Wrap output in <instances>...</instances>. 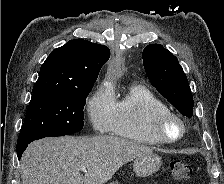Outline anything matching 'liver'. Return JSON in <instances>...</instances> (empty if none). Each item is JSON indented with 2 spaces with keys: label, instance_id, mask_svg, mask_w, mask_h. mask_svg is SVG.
<instances>
[{
  "label": "liver",
  "instance_id": "liver-1",
  "mask_svg": "<svg viewBox=\"0 0 224 184\" xmlns=\"http://www.w3.org/2000/svg\"><path fill=\"white\" fill-rule=\"evenodd\" d=\"M149 147L114 136L44 138L29 144L20 161L22 184H104ZM85 167V175L80 168Z\"/></svg>",
  "mask_w": 224,
  "mask_h": 184
}]
</instances>
